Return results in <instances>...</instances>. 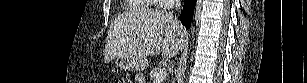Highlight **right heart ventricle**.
<instances>
[{"instance_id": "right-heart-ventricle-1", "label": "right heart ventricle", "mask_w": 307, "mask_h": 83, "mask_svg": "<svg viewBox=\"0 0 307 83\" xmlns=\"http://www.w3.org/2000/svg\"><path fill=\"white\" fill-rule=\"evenodd\" d=\"M149 6H150L149 2H147V1L135 0L133 5H132V8H134V9H139V8L145 9Z\"/></svg>"}]
</instances>
